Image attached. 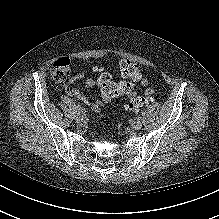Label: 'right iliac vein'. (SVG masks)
Returning a JSON list of instances; mask_svg holds the SVG:
<instances>
[{
    "instance_id": "obj_1",
    "label": "right iliac vein",
    "mask_w": 219,
    "mask_h": 219,
    "mask_svg": "<svg viewBox=\"0 0 219 219\" xmlns=\"http://www.w3.org/2000/svg\"><path fill=\"white\" fill-rule=\"evenodd\" d=\"M84 118H85V114L84 113H77V115H76V120L77 121H83L84 120Z\"/></svg>"
}]
</instances>
